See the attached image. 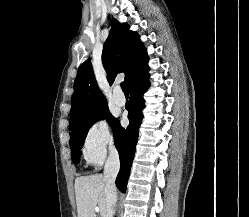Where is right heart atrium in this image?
Listing matches in <instances>:
<instances>
[{
  "mask_svg": "<svg viewBox=\"0 0 249 217\" xmlns=\"http://www.w3.org/2000/svg\"><path fill=\"white\" fill-rule=\"evenodd\" d=\"M113 145V136L107 122L98 119L86 132L82 145L83 156L88 164L98 166L102 164Z\"/></svg>",
  "mask_w": 249,
  "mask_h": 217,
  "instance_id": "d8ad5b80",
  "label": "right heart atrium"
}]
</instances>
